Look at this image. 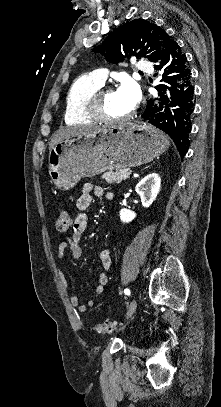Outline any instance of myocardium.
Masks as SVG:
<instances>
[{"label":"myocardium","instance_id":"1","mask_svg":"<svg viewBox=\"0 0 221 407\" xmlns=\"http://www.w3.org/2000/svg\"><path fill=\"white\" fill-rule=\"evenodd\" d=\"M113 90V87H102L94 94L87 106V113L92 119L108 123H120L130 119L134 115V111L121 117H113L107 113L105 108V95Z\"/></svg>","mask_w":221,"mask_h":407}]
</instances>
